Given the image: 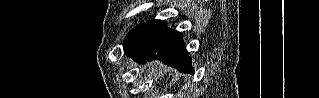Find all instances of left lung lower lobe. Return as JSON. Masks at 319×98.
Returning a JSON list of instances; mask_svg holds the SVG:
<instances>
[{
    "label": "left lung lower lobe",
    "mask_w": 319,
    "mask_h": 98,
    "mask_svg": "<svg viewBox=\"0 0 319 98\" xmlns=\"http://www.w3.org/2000/svg\"><path fill=\"white\" fill-rule=\"evenodd\" d=\"M124 52L141 63L160 59L182 72L193 73L181 33L170 30L162 20L153 19L140 25L124 45Z\"/></svg>",
    "instance_id": "left-lung-lower-lobe-1"
}]
</instances>
